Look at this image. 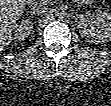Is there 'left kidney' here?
<instances>
[{"label":"left kidney","mask_w":111,"mask_h":106,"mask_svg":"<svg viewBox=\"0 0 111 106\" xmlns=\"http://www.w3.org/2000/svg\"><path fill=\"white\" fill-rule=\"evenodd\" d=\"M76 25L82 37L90 43L111 40V14L106 11L84 12L76 16Z\"/></svg>","instance_id":"1"}]
</instances>
